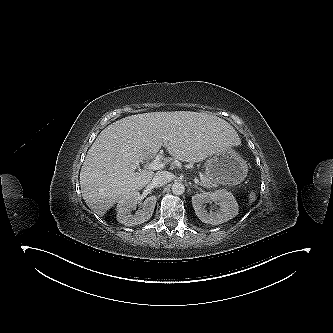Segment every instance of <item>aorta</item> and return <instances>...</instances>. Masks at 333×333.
Returning <instances> with one entry per match:
<instances>
[{
    "instance_id": "762f6f07",
    "label": "aorta",
    "mask_w": 333,
    "mask_h": 333,
    "mask_svg": "<svg viewBox=\"0 0 333 333\" xmlns=\"http://www.w3.org/2000/svg\"><path fill=\"white\" fill-rule=\"evenodd\" d=\"M171 189H172L173 194H175V195H181L185 191V186L182 183H180V182H175L172 185Z\"/></svg>"
}]
</instances>
